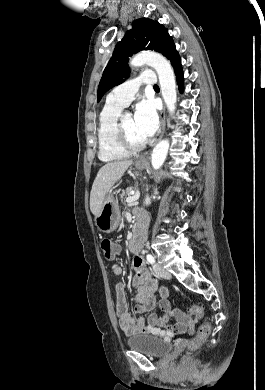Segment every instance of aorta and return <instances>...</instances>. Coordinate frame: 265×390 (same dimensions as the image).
<instances>
[{
    "label": "aorta",
    "mask_w": 265,
    "mask_h": 390,
    "mask_svg": "<svg viewBox=\"0 0 265 390\" xmlns=\"http://www.w3.org/2000/svg\"><path fill=\"white\" fill-rule=\"evenodd\" d=\"M145 64L156 70L164 102L169 113L173 115L176 109L177 93L175 76L170 62L162 55L154 52L139 53L130 61L132 67H141ZM168 150L169 140L167 139L160 141L154 147L151 155V163L154 169H159L163 165Z\"/></svg>",
    "instance_id": "762f6f07"
}]
</instances>
